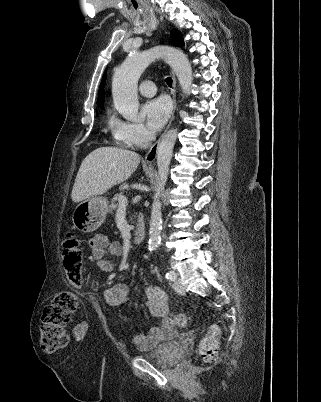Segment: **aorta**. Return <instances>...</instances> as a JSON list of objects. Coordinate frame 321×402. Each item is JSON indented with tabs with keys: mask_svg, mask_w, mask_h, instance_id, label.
<instances>
[{
	"mask_svg": "<svg viewBox=\"0 0 321 402\" xmlns=\"http://www.w3.org/2000/svg\"><path fill=\"white\" fill-rule=\"evenodd\" d=\"M164 59L176 74L185 95L193 83L192 68L187 56L169 46H156L147 51L131 52L116 69L112 81V95L116 110L129 120L139 118L137 84L144 70L155 60ZM177 139V129H170L161 139L157 150L158 181L152 197L148 249L154 251L161 241L162 213L160 197L167 182L169 165Z\"/></svg>",
	"mask_w": 321,
	"mask_h": 402,
	"instance_id": "762f6f07",
	"label": "aorta"
}]
</instances>
